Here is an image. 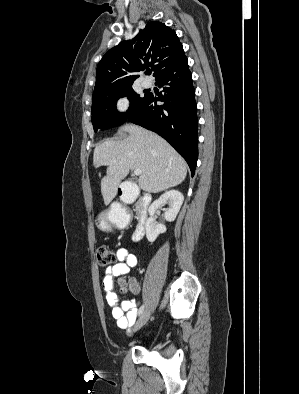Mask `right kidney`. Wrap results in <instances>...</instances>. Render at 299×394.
<instances>
[{
  "mask_svg": "<svg viewBox=\"0 0 299 394\" xmlns=\"http://www.w3.org/2000/svg\"><path fill=\"white\" fill-rule=\"evenodd\" d=\"M183 201L184 197L181 192L170 190L162 194L150 205L148 209L150 217L146 221V238L149 242H154L160 234L166 232L165 225L157 223L154 219L156 209L168 204L169 208L165 211V220L172 222L175 220Z\"/></svg>",
  "mask_w": 299,
  "mask_h": 394,
  "instance_id": "right-kidney-1",
  "label": "right kidney"
}]
</instances>
